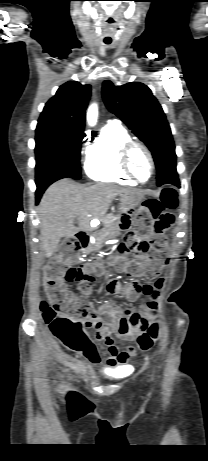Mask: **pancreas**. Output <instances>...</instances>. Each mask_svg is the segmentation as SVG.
<instances>
[{"label":"pancreas","instance_id":"obj_1","mask_svg":"<svg viewBox=\"0 0 208 461\" xmlns=\"http://www.w3.org/2000/svg\"><path fill=\"white\" fill-rule=\"evenodd\" d=\"M114 219H115V216L113 213L107 214L103 220L104 228L107 229L111 227L114 224Z\"/></svg>","mask_w":208,"mask_h":461}]
</instances>
